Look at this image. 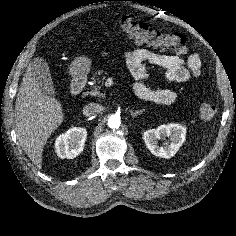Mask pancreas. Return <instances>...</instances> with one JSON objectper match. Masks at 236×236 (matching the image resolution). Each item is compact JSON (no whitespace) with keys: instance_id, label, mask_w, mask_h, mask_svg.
<instances>
[{"instance_id":"cf45deb5","label":"pancreas","mask_w":236,"mask_h":236,"mask_svg":"<svg viewBox=\"0 0 236 236\" xmlns=\"http://www.w3.org/2000/svg\"><path fill=\"white\" fill-rule=\"evenodd\" d=\"M103 71L100 70L92 77L93 86L92 89L88 92V94L95 96V97H102L103 94L100 93V90L103 86L104 80L106 79V76L103 75Z\"/></svg>"}]
</instances>
